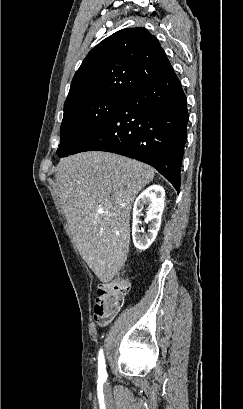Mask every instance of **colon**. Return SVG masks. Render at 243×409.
Wrapping results in <instances>:
<instances>
[{
    "instance_id": "1",
    "label": "colon",
    "mask_w": 243,
    "mask_h": 409,
    "mask_svg": "<svg viewBox=\"0 0 243 409\" xmlns=\"http://www.w3.org/2000/svg\"><path fill=\"white\" fill-rule=\"evenodd\" d=\"M129 288V282L122 275L98 285L94 307L98 323L106 324L116 315Z\"/></svg>"
}]
</instances>
